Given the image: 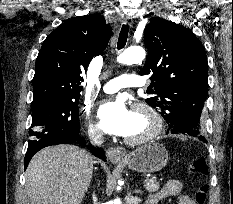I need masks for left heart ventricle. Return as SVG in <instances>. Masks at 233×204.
Returning <instances> with one entry per match:
<instances>
[{
  "mask_svg": "<svg viewBox=\"0 0 233 204\" xmlns=\"http://www.w3.org/2000/svg\"><path fill=\"white\" fill-rule=\"evenodd\" d=\"M151 128L149 118L143 112H131V123L125 137L135 138L147 133Z\"/></svg>",
  "mask_w": 233,
  "mask_h": 204,
  "instance_id": "1",
  "label": "left heart ventricle"
}]
</instances>
